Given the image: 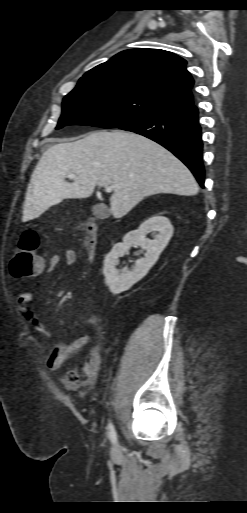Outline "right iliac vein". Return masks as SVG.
<instances>
[{
	"label": "right iliac vein",
	"instance_id": "obj_1",
	"mask_svg": "<svg viewBox=\"0 0 247 513\" xmlns=\"http://www.w3.org/2000/svg\"><path fill=\"white\" fill-rule=\"evenodd\" d=\"M119 453V446L118 444H115V446L112 448V455L117 456Z\"/></svg>",
	"mask_w": 247,
	"mask_h": 513
}]
</instances>
